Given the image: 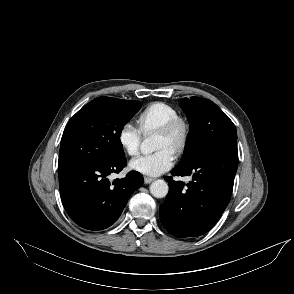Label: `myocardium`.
Returning <instances> with one entry per match:
<instances>
[{
  "instance_id": "myocardium-1",
  "label": "myocardium",
  "mask_w": 294,
  "mask_h": 294,
  "mask_svg": "<svg viewBox=\"0 0 294 294\" xmlns=\"http://www.w3.org/2000/svg\"><path fill=\"white\" fill-rule=\"evenodd\" d=\"M157 133L173 138V152L176 155H181L188 147L191 127L186 119L177 117L160 127Z\"/></svg>"
}]
</instances>
